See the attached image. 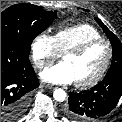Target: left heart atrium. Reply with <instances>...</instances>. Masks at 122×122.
Returning <instances> with one entry per match:
<instances>
[{
    "label": "left heart atrium",
    "instance_id": "obj_1",
    "mask_svg": "<svg viewBox=\"0 0 122 122\" xmlns=\"http://www.w3.org/2000/svg\"><path fill=\"white\" fill-rule=\"evenodd\" d=\"M44 81L52 84H71L75 82L73 72L68 64H59L47 67L41 72Z\"/></svg>",
    "mask_w": 122,
    "mask_h": 122
}]
</instances>
